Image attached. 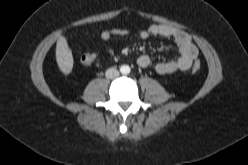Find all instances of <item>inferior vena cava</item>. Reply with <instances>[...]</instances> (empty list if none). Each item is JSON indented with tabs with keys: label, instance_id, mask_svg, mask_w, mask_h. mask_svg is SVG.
<instances>
[{
	"label": "inferior vena cava",
	"instance_id": "602c4592",
	"mask_svg": "<svg viewBox=\"0 0 248 165\" xmlns=\"http://www.w3.org/2000/svg\"><path fill=\"white\" fill-rule=\"evenodd\" d=\"M105 76L108 79H115L119 76V71L115 68H109L106 70Z\"/></svg>",
	"mask_w": 248,
	"mask_h": 165
}]
</instances>
